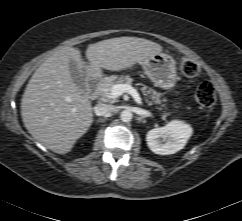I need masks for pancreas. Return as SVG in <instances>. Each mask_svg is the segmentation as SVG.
<instances>
[{
  "instance_id": "cf45deb5",
  "label": "pancreas",
  "mask_w": 242,
  "mask_h": 221,
  "mask_svg": "<svg viewBox=\"0 0 242 221\" xmlns=\"http://www.w3.org/2000/svg\"><path fill=\"white\" fill-rule=\"evenodd\" d=\"M133 79L130 76H122L118 77L115 75L105 77L98 85L97 94L99 96V100L107 103H115L117 102V97L113 96L111 93L112 87L116 84H132ZM144 96H146V101L149 104L156 103L160 104L162 102H166L165 99H160V93L156 92L154 89L149 88L144 85L141 89ZM163 108H166V104H162ZM162 110V108H158Z\"/></svg>"
}]
</instances>
